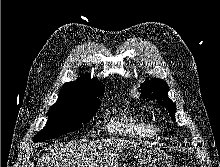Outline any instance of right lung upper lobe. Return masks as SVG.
Wrapping results in <instances>:
<instances>
[{"mask_svg":"<svg viewBox=\"0 0 220 167\" xmlns=\"http://www.w3.org/2000/svg\"><path fill=\"white\" fill-rule=\"evenodd\" d=\"M104 92L103 85L88 75H82L73 82L64 84L60 90L58 101L75 98H96Z\"/></svg>","mask_w":220,"mask_h":167,"instance_id":"right-lung-upper-lobe-1","label":"right lung upper lobe"}]
</instances>
